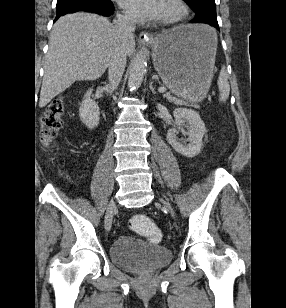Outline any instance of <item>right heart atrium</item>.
Instances as JSON below:
<instances>
[{
    "mask_svg": "<svg viewBox=\"0 0 286 308\" xmlns=\"http://www.w3.org/2000/svg\"><path fill=\"white\" fill-rule=\"evenodd\" d=\"M120 19L123 20V21H127V22H133L134 21V19L127 14H121Z\"/></svg>",
    "mask_w": 286,
    "mask_h": 308,
    "instance_id": "obj_1",
    "label": "right heart atrium"
}]
</instances>
